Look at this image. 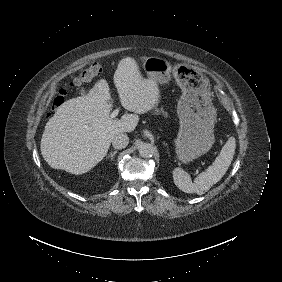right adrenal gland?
Listing matches in <instances>:
<instances>
[{"mask_svg": "<svg viewBox=\"0 0 282 282\" xmlns=\"http://www.w3.org/2000/svg\"><path fill=\"white\" fill-rule=\"evenodd\" d=\"M117 153V150H115V151H111V152H109V154L108 155H106V157H111L112 159H114L115 158V154Z\"/></svg>", "mask_w": 282, "mask_h": 282, "instance_id": "1", "label": "right adrenal gland"}]
</instances>
